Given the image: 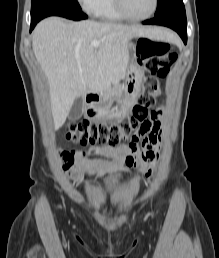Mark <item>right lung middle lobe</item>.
<instances>
[{"instance_id":"right-lung-middle-lobe-1","label":"right lung middle lobe","mask_w":219,"mask_h":258,"mask_svg":"<svg viewBox=\"0 0 219 258\" xmlns=\"http://www.w3.org/2000/svg\"><path fill=\"white\" fill-rule=\"evenodd\" d=\"M76 7L81 10L77 0H32L31 19L39 16L43 11L55 6Z\"/></svg>"}]
</instances>
